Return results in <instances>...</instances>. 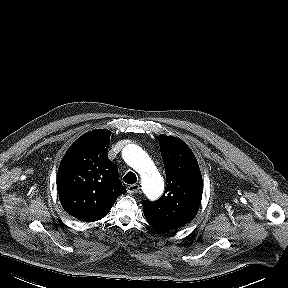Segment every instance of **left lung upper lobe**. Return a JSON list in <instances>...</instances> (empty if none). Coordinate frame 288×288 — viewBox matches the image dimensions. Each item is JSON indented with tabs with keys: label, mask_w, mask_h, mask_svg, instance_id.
<instances>
[{
	"label": "left lung upper lobe",
	"mask_w": 288,
	"mask_h": 288,
	"mask_svg": "<svg viewBox=\"0 0 288 288\" xmlns=\"http://www.w3.org/2000/svg\"><path fill=\"white\" fill-rule=\"evenodd\" d=\"M159 146L166 171V190L156 201H144V214L178 229L196 215L202 198V176L197 161L181 140L161 135Z\"/></svg>",
	"instance_id": "1"
}]
</instances>
